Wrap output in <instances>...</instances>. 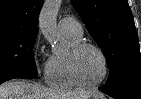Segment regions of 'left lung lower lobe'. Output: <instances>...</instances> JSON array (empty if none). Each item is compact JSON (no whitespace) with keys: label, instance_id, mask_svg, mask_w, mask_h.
Segmentation results:
<instances>
[{"label":"left lung lower lobe","instance_id":"left-lung-lower-lobe-1","mask_svg":"<svg viewBox=\"0 0 141 99\" xmlns=\"http://www.w3.org/2000/svg\"><path fill=\"white\" fill-rule=\"evenodd\" d=\"M115 99H141V81H125L99 88Z\"/></svg>","mask_w":141,"mask_h":99}]
</instances>
